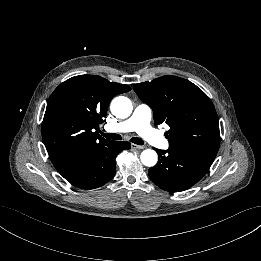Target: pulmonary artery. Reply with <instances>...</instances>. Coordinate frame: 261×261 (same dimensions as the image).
Here are the masks:
<instances>
[{"label":"pulmonary artery","instance_id":"e3ab8cb5","mask_svg":"<svg viewBox=\"0 0 261 261\" xmlns=\"http://www.w3.org/2000/svg\"><path fill=\"white\" fill-rule=\"evenodd\" d=\"M152 110L146 104H139L133 114L125 121L111 126V132L136 131L148 142L160 148H168V140L156 137L151 129Z\"/></svg>","mask_w":261,"mask_h":261}]
</instances>
